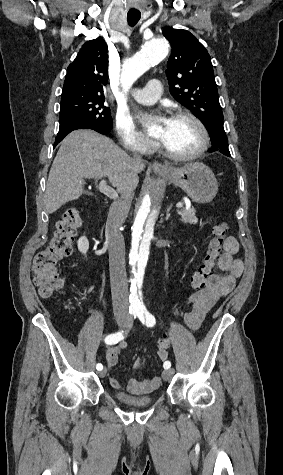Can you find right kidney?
Instances as JSON below:
<instances>
[{
	"mask_svg": "<svg viewBox=\"0 0 283 475\" xmlns=\"http://www.w3.org/2000/svg\"><path fill=\"white\" fill-rule=\"evenodd\" d=\"M77 245H78L79 251H81V253H84V255H86L89 249V241L86 238V236H81V238H79L77 241Z\"/></svg>",
	"mask_w": 283,
	"mask_h": 475,
	"instance_id": "right-kidney-1",
	"label": "right kidney"
}]
</instances>
